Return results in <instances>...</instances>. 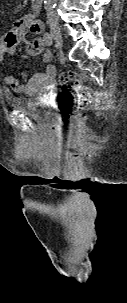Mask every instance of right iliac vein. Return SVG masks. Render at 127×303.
Segmentation results:
<instances>
[{"label":"right iliac vein","instance_id":"right-iliac-vein-1","mask_svg":"<svg viewBox=\"0 0 127 303\" xmlns=\"http://www.w3.org/2000/svg\"><path fill=\"white\" fill-rule=\"evenodd\" d=\"M48 23L54 40L60 47H62L63 40L59 22L57 20L51 19Z\"/></svg>","mask_w":127,"mask_h":303}]
</instances>
